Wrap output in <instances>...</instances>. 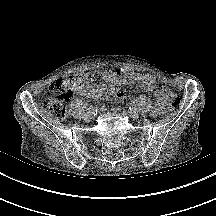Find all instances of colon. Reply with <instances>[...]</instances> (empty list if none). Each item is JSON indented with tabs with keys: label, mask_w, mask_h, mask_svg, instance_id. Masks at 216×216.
<instances>
[{
	"label": "colon",
	"mask_w": 216,
	"mask_h": 216,
	"mask_svg": "<svg viewBox=\"0 0 216 216\" xmlns=\"http://www.w3.org/2000/svg\"><path fill=\"white\" fill-rule=\"evenodd\" d=\"M88 79V75L77 72H70L58 78L51 87L54 95L43 101L42 108L52 117L59 120L64 119L66 117V103L72 96L73 88ZM167 101L172 110H177L181 105L180 98L170 90L167 93Z\"/></svg>",
	"instance_id": "5ec220e1"
}]
</instances>
